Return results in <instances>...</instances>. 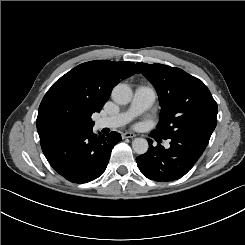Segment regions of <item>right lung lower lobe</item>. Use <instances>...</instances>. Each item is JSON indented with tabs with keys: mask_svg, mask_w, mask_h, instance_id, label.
Segmentation results:
<instances>
[{
	"mask_svg": "<svg viewBox=\"0 0 245 245\" xmlns=\"http://www.w3.org/2000/svg\"><path fill=\"white\" fill-rule=\"evenodd\" d=\"M120 140L117 132L97 136L91 128L51 135L41 140V148L58 174L73 183H86L103 174Z\"/></svg>",
	"mask_w": 245,
	"mask_h": 245,
	"instance_id": "obj_1",
	"label": "right lung lower lobe"
}]
</instances>
